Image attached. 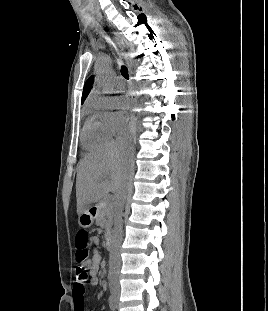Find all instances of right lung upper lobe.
Returning a JSON list of instances; mask_svg holds the SVG:
<instances>
[{"label":"right lung upper lobe","mask_w":268,"mask_h":311,"mask_svg":"<svg viewBox=\"0 0 268 311\" xmlns=\"http://www.w3.org/2000/svg\"><path fill=\"white\" fill-rule=\"evenodd\" d=\"M93 81H94V77L91 76L85 83L84 85V89H83V94H82V100L81 103L83 104V102L85 101L86 97L88 96L90 90L92 89V85H93Z\"/></svg>","instance_id":"cb5924a9"}]
</instances>
